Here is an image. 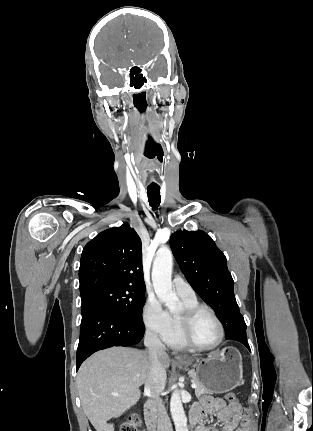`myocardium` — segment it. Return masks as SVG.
<instances>
[{"label": "myocardium", "instance_id": "myocardium-1", "mask_svg": "<svg viewBox=\"0 0 313 431\" xmlns=\"http://www.w3.org/2000/svg\"><path fill=\"white\" fill-rule=\"evenodd\" d=\"M208 313L211 315V317L215 320L216 324L219 328V338L216 343L209 346H203L197 344L191 335V331L194 325V322L196 318L201 313ZM178 320H179V328H180V335L186 346L197 349V350H213L218 348L224 341L225 338V330L222 321L217 316V314L209 307L204 305H196V306H190V307H183L182 310L178 313Z\"/></svg>", "mask_w": 313, "mask_h": 431}]
</instances>
